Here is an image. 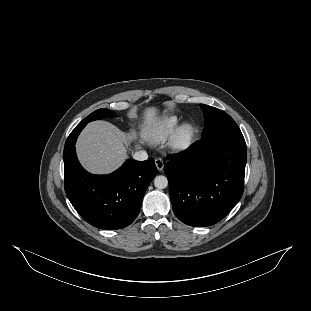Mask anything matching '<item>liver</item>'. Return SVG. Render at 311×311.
Listing matches in <instances>:
<instances>
[{
  "label": "liver",
  "instance_id": "1",
  "mask_svg": "<svg viewBox=\"0 0 311 311\" xmlns=\"http://www.w3.org/2000/svg\"><path fill=\"white\" fill-rule=\"evenodd\" d=\"M143 120L140 129L141 141H155L158 138L159 123L157 109L146 108ZM128 139L126 133L109 122H91L77 140L78 159L83 167L93 174H109L119 168L128 158L126 149Z\"/></svg>",
  "mask_w": 311,
  "mask_h": 311
}]
</instances>
